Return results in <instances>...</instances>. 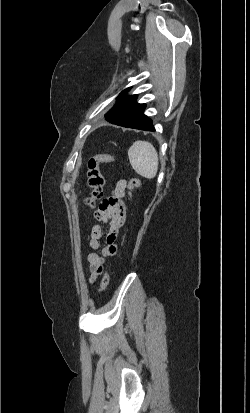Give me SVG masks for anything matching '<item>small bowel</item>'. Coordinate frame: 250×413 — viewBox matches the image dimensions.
<instances>
[{
	"instance_id": "c3829d8e",
	"label": "small bowel",
	"mask_w": 250,
	"mask_h": 413,
	"mask_svg": "<svg viewBox=\"0 0 250 413\" xmlns=\"http://www.w3.org/2000/svg\"><path fill=\"white\" fill-rule=\"evenodd\" d=\"M126 181L117 182L112 195L106 197L95 212L96 220L109 223V230L106 236L107 244L102 247L101 240L104 237L101 227L97 224L91 228V237L88 246L93 250L87 256L89 263V274L91 282L102 273L105 262L117 252L115 239L123 227L126 208L122 198L125 195Z\"/></svg>"
}]
</instances>
